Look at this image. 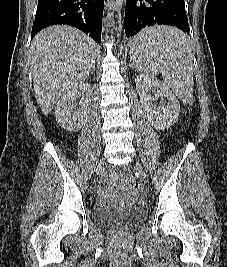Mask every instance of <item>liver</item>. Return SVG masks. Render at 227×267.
Masks as SVG:
<instances>
[{
    "label": "liver",
    "instance_id": "liver-1",
    "mask_svg": "<svg viewBox=\"0 0 227 267\" xmlns=\"http://www.w3.org/2000/svg\"><path fill=\"white\" fill-rule=\"evenodd\" d=\"M94 47L89 36L67 25L48 27L34 37L30 61L35 98L43 114L84 82L95 64Z\"/></svg>",
    "mask_w": 227,
    "mask_h": 267
}]
</instances>
